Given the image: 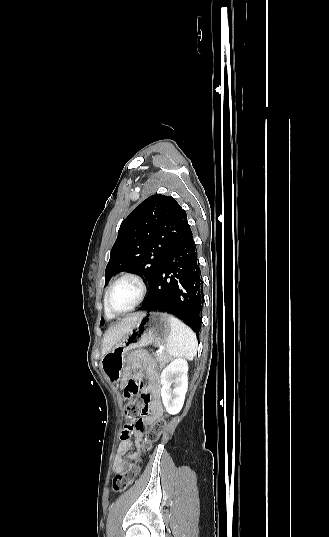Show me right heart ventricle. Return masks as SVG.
Masks as SVG:
<instances>
[{
  "label": "right heart ventricle",
  "mask_w": 329,
  "mask_h": 537,
  "mask_svg": "<svg viewBox=\"0 0 329 537\" xmlns=\"http://www.w3.org/2000/svg\"><path fill=\"white\" fill-rule=\"evenodd\" d=\"M104 311H105V313H106V315H107L108 317H113V316H114V315H112V314L107 310V308H106V305H105V297H104Z\"/></svg>",
  "instance_id": "1"
}]
</instances>
